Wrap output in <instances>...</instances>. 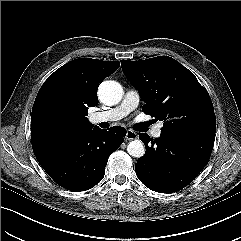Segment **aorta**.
<instances>
[{"mask_svg":"<svg viewBox=\"0 0 241 241\" xmlns=\"http://www.w3.org/2000/svg\"><path fill=\"white\" fill-rule=\"evenodd\" d=\"M100 100L107 105H115L120 102L123 95L122 86L116 81H103L98 88ZM129 155L140 158L145 154V147L140 140L131 141L127 146Z\"/></svg>","mask_w":241,"mask_h":241,"instance_id":"aorta-1","label":"aorta"}]
</instances>
